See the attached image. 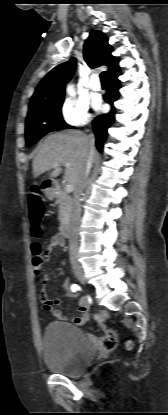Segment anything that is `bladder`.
Here are the masks:
<instances>
[{
    "label": "bladder",
    "mask_w": 168,
    "mask_h": 415,
    "mask_svg": "<svg viewBox=\"0 0 168 415\" xmlns=\"http://www.w3.org/2000/svg\"><path fill=\"white\" fill-rule=\"evenodd\" d=\"M42 352L44 363L52 372L76 377L92 363L96 349L80 328L51 322L43 333Z\"/></svg>",
    "instance_id": "1"
}]
</instances>
